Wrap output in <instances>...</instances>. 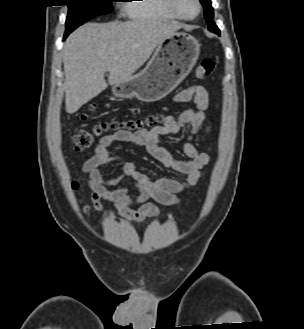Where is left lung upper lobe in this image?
<instances>
[{
    "instance_id": "1",
    "label": "left lung upper lobe",
    "mask_w": 304,
    "mask_h": 329,
    "mask_svg": "<svg viewBox=\"0 0 304 329\" xmlns=\"http://www.w3.org/2000/svg\"><path fill=\"white\" fill-rule=\"evenodd\" d=\"M201 4L204 7V16L206 18V22L209 25V29L213 28V7L211 5L210 0H200Z\"/></svg>"
}]
</instances>
